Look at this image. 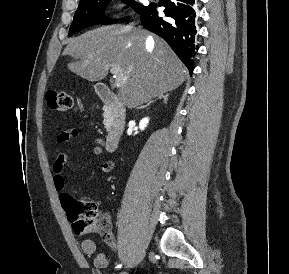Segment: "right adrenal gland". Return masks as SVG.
Returning <instances> with one entry per match:
<instances>
[{
	"instance_id": "2a0ac1e0",
	"label": "right adrenal gland",
	"mask_w": 289,
	"mask_h": 274,
	"mask_svg": "<svg viewBox=\"0 0 289 274\" xmlns=\"http://www.w3.org/2000/svg\"><path fill=\"white\" fill-rule=\"evenodd\" d=\"M168 96H169L168 93H167L166 95H160V96H158L157 98H155L154 100L149 101L146 105L140 106V107H138L137 109L146 108V107H148L151 103L157 101L158 99H163L164 103L166 104L167 101H168Z\"/></svg>"
}]
</instances>
